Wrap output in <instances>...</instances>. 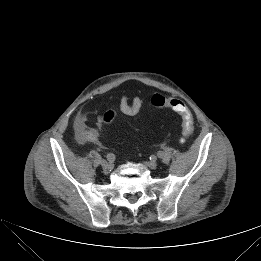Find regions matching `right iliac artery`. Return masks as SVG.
<instances>
[{
  "mask_svg": "<svg viewBox=\"0 0 261 261\" xmlns=\"http://www.w3.org/2000/svg\"><path fill=\"white\" fill-rule=\"evenodd\" d=\"M106 159L110 162V163H113L115 160H116V157L113 153H108L106 155Z\"/></svg>",
  "mask_w": 261,
  "mask_h": 261,
  "instance_id": "right-iliac-artery-1",
  "label": "right iliac artery"
}]
</instances>
